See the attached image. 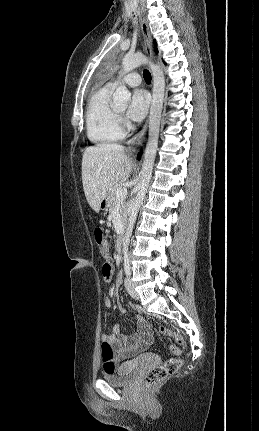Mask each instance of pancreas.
Segmentation results:
<instances>
[{
	"mask_svg": "<svg viewBox=\"0 0 259 431\" xmlns=\"http://www.w3.org/2000/svg\"><path fill=\"white\" fill-rule=\"evenodd\" d=\"M122 187H123L122 183H117L115 186H113V188L110 190L108 194V200H109L110 211H113L119 205V213L121 215V220L124 221L126 218L127 206L125 201L119 200L116 196L117 189Z\"/></svg>",
	"mask_w": 259,
	"mask_h": 431,
	"instance_id": "obj_1",
	"label": "pancreas"
}]
</instances>
